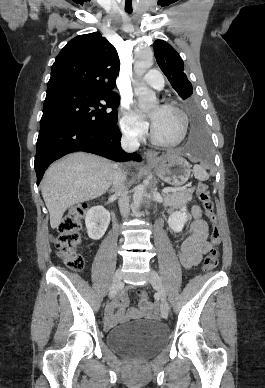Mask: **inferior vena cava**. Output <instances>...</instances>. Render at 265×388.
<instances>
[{"label": "inferior vena cava", "mask_w": 265, "mask_h": 388, "mask_svg": "<svg viewBox=\"0 0 265 388\" xmlns=\"http://www.w3.org/2000/svg\"><path fill=\"white\" fill-rule=\"evenodd\" d=\"M140 144L137 136H130V134H124L121 138V148L125 152H136ZM126 176L124 172H121L120 168H116L113 174V188L118 196V204L121 212V216H127L129 214V198L126 194V186L124 184Z\"/></svg>", "instance_id": "obj_1"}]
</instances>
